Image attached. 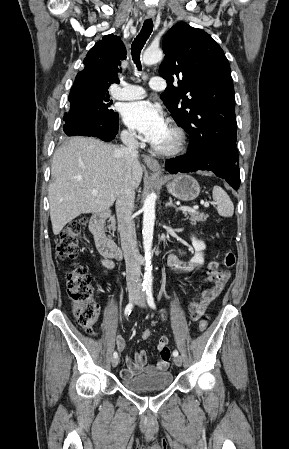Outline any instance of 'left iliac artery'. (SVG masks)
Segmentation results:
<instances>
[{"label":"left iliac artery","mask_w":289,"mask_h":449,"mask_svg":"<svg viewBox=\"0 0 289 449\" xmlns=\"http://www.w3.org/2000/svg\"><path fill=\"white\" fill-rule=\"evenodd\" d=\"M146 296H147V302H148V305L152 308V309H156V305H155V302H154V298H153V294H152V289H147L146 290ZM178 351L177 350H174L173 351V356L174 357H176V356H178Z\"/></svg>","instance_id":"44dca946"}]
</instances>
